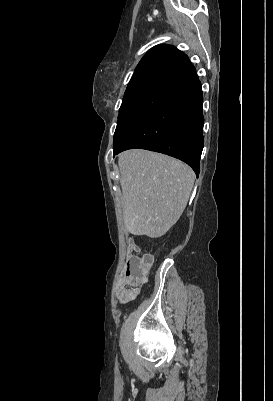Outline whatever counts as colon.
I'll return each instance as SVG.
<instances>
[{
  "mask_svg": "<svg viewBox=\"0 0 273 401\" xmlns=\"http://www.w3.org/2000/svg\"><path fill=\"white\" fill-rule=\"evenodd\" d=\"M149 257H127L125 259L126 269H124V278L118 279L119 287L117 288V297H134L136 293H140L141 286L139 282H145L147 276L150 275Z\"/></svg>",
  "mask_w": 273,
  "mask_h": 401,
  "instance_id": "colon-1",
  "label": "colon"
}]
</instances>
